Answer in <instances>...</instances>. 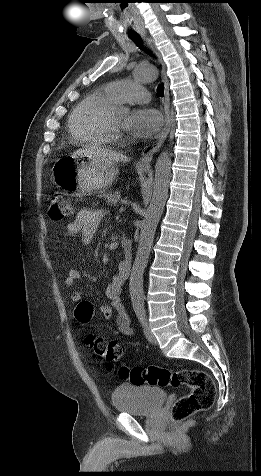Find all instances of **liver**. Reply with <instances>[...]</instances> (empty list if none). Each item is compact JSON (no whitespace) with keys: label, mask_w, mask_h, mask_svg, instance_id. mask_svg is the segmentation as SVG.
Masks as SVG:
<instances>
[{"label":"liver","mask_w":261,"mask_h":476,"mask_svg":"<svg viewBox=\"0 0 261 476\" xmlns=\"http://www.w3.org/2000/svg\"><path fill=\"white\" fill-rule=\"evenodd\" d=\"M87 156L89 158H94L97 161H105V162H129L130 158L126 157L125 155L109 150L107 148H102L99 146H87L85 148L79 149L72 154V157L76 156Z\"/></svg>","instance_id":"obj_1"}]
</instances>
